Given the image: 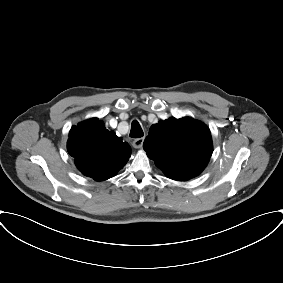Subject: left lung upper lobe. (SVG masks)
Listing matches in <instances>:
<instances>
[{
  "label": "left lung upper lobe",
  "mask_w": 283,
  "mask_h": 283,
  "mask_svg": "<svg viewBox=\"0 0 283 283\" xmlns=\"http://www.w3.org/2000/svg\"><path fill=\"white\" fill-rule=\"evenodd\" d=\"M143 148L167 177L178 181L200 174L213 152L209 128L188 117L152 125Z\"/></svg>",
  "instance_id": "obj_1"
}]
</instances>
